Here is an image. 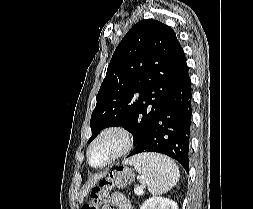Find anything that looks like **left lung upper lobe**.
Segmentation results:
<instances>
[{
	"instance_id": "5c2ea615",
	"label": "left lung upper lobe",
	"mask_w": 253,
	"mask_h": 209,
	"mask_svg": "<svg viewBox=\"0 0 253 209\" xmlns=\"http://www.w3.org/2000/svg\"><path fill=\"white\" fill-rule=\"evenodd\" d=\"M185 56L173 29L147 19L136 23L115 49L91 115L92 136L122 126L138 150L163 110Z\"/></svg>"
}]
</instances>
